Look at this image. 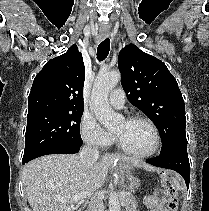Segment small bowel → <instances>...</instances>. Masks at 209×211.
<instances>
[{
	"label": "small bowel",
	"mask_w": 209,
	"mask_h": 211,
	"mask_svg": "<svg viewBox=\"0 0 209 211\" xmlns=\"http://www.w3.org/2000/svg\"><path fill=\"white\" fill-rule=\"evenodd\" d=\"M167 194L164 190H157L145 198L148 211H168L165 206Z\"/></svg>",
	"instance_id": "c3829d8e"
}]
</instances>
